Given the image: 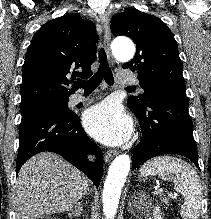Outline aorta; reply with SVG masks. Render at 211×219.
<instances>
[{"mask_svg":"<svg viewBox=\"0 0 211 219\" xmlns=\"http://www.w3.org/2000/svg\"><path fill=\"white\" fill-rule=\"evenodd\" d=\"M113 53L118 60L129 61L135 54V46L130 40L117 41ZM130 165V157L127 154H121L109 167L102 194L103 212L107 219H114Z\"/></svg>","mask_w":211,"mask_h":219,"instance_id":"762f6f07","label":"aorta"}]
</instances>
